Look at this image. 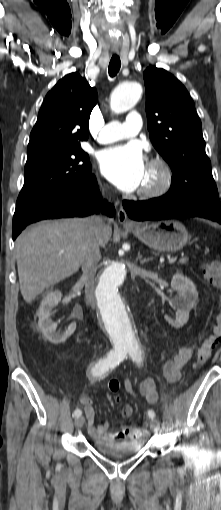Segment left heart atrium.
<instances>
[{"mask_svg": "<svg viewBox=\"0 0 221 510\" xmlns=\"http://www.w3.org/2000/svg\"><path fill=\"white\" fill-rule=\"evenodd\" d=\"M99 165L102 173L120 190L134 192L141 187L146 163L138 145H118L103 150Z\"/></svg>", "mask_w": 221, "mask_h": 510, "instance_id": "39dd6f15", "label": "left heart atrium"}]
</instances>
